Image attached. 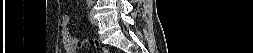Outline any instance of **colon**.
Returning <instances> with one entry per match:
<instances>
[{"mask_svg": "<svg viewBox=\"0 0 253 53\" xmlns=\"http://www.w3.org/2000/svg\"><path fill=\"white\" fill-rule=\"evenodd\" d=\"M86 43H87V45H89L93 48H98L101 46V43L98 39H90ZM79 44H80V46H82V45H84V42H79ZM106 52H108V51L106 50Z\"/></svg>", "mask_w": 253, "mask_h": 53, "instance_id": "5ec220e1", "label": "colon"}]
</instances>
